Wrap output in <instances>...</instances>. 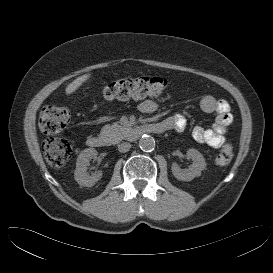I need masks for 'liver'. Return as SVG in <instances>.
I'll return each instance as SVG.
<instances>
[{"label": "liver", "instance_id": "1", "mask_svg": "<svg viewBox=\"0 0 273 273\" xmlns=\"http://www.w3.org/2000/svg\"><path fill=\"white\" fill-rule=\"evenodd\" d=\"M91 77V74H84L77 77L73 82H71L65 89L67 95L74 93L84 82H86Z\"/></svg>", "mask_w": 273, "mask_h": 273}]
</instances>
